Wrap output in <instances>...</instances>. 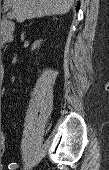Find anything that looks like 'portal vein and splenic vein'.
Returning a JSON list of instances; mask_svg holds the SVG:
<instances>
[{"label":"portal vein and splenic vein","mask_w":109,"mask_h":170,"mask_svg":"<svg viewBox=\"0 0 109 170\" xmlns=\"http://www.w3.org/2000/svg\"><path fill=\"white\" fill-rule=\"evenodd\" d=\"M7 17H8L9 19H13V18L15 17V16H14V12L8 11Z\"/></svg>","instance_id":"1"}]
</instances>
